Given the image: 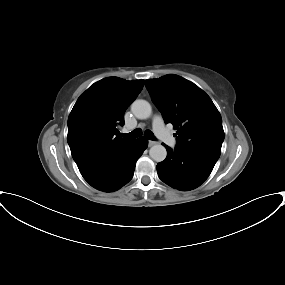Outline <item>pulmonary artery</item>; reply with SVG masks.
I'll return each mask as SVG.
<instances>
[{
  "instance_id": "pulmonary-artery-1",
  "label": "pulmonary artery",
  "mask_w": 285,
  "mask_h": 285,
  "mask_svg": "<svg viewBox=\"0 0 285 285\" xmlns=\"http://www.w3.org/2000/svg\"><path fill=\"white\" fill-rule=\"evenodd\" d=\"M153 129L155 134L168 146L174 147L177 144L176 139L171 135L164 125V121L160 115L153 118Z\"/></svg>"
}]
</instances>
